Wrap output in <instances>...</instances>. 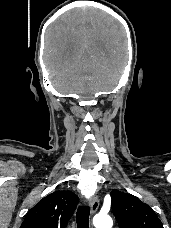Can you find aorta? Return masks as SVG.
Segmentation results:
<instances>
[{"mask_svg":"<svg viewBox=\"0 0 171 228\" xmlns=\"http://www.w3.org/2000/svg\"><path fill=\"white\" fill-rule=\"evenodd\" d=\"M96 228H112L113 222L107 214H97L93 219Z\"/></svg>","mask_w":171,"mask_h":228,"instance_id":"aorta-1","label":"aorta"}]
</instances>
